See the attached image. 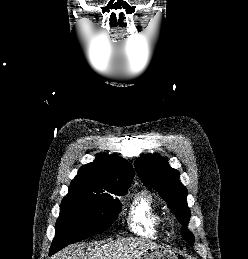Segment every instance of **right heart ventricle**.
<instances>
[{
	"label": "right heart ventricle",
	"mask_w": 248,
	"mask_h": 259,
	"mask_svg": "<svg viewBox=\"0 0 248 259\" xmlns=\"http://www.w3.org/2000/svg\"><path fill=\"white\" fill-rule=\"evenodd\" d=\"M164 222L163 213L151 194L140 192L134 197L128 215L129 226L134 232L153 236L164 226Z\"/></svg>",
	"instance_id": "obj_1"
}]
</instances>
